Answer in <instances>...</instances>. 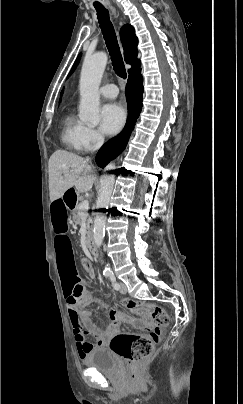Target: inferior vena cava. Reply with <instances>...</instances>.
Segmentation results:
<instances>
[{"instance_id": "obj_1", "label": "inferior vena cava", "mask_w": 243, "mask_h": 404, "mask_svg": "<svg viewBox=\"0 0 243 404\" xmlns=\"http://www.w3.org/2000/svg\"><path fill=\"white\" fill-rule=\"evenodd\" d=\"M102 144H104V138H103V136H99V138L97 140V144H95V146H94V150H99V148H101Z\"/></svg>"}]
</instances>
